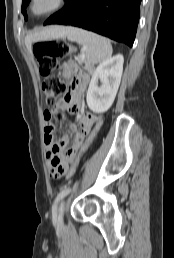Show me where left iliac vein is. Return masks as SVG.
<instances>
[{"instance_id":"left-iliac-vein-1","label":"left iliac vein","mask_w":174,"mask_h":258,"mask_svg":"<svg viewBox=\"0 0 174 258\" xmlns=\"http://www.w3.org/2000/svg\"><path fill=\"white\" fill-rule=\"evenodd\" d=\"M65 205L66 201L63 200L59 206L58 209V215H57V224L61 225L63 223V216H64V211H65Z\"/></svg>"}]
</instances>
